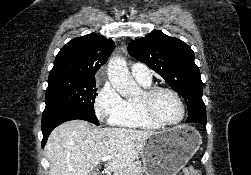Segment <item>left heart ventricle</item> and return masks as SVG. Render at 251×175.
<instances>
[{
  "instance_id": "b2bd125f",
  "label": "left heart ventricle",
  "mask_w": 251,
  "mask_h": 175,
  "mask_svg": "<svg viewBox=\"0 0 251 175\" xmlns=\"http://www.w3.org/2000/svg\"><path fill=\"white\" fill-rule=\"evenodd\" d=\"M143 94L138 101L143 100ZM152 109L155 115L165 124H176L182 118V107L172 92L161 91L152 99Z\"/></svg>"
}]
</instances>
